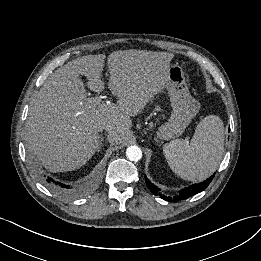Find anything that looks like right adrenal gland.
I'll use <instances>...</instances> for the list:
<instances>
[{
	"label": "right adrenal gland",
	"instance_id": "obj_1",
	"mask_svg": "<svg viewBox=\"0 0 261 261\" xmlns=\"http://www.w3.org/2000/svg\"><path fill=\"white\" fill-rule=\"evenodd\" d=\"M102 141H103V137L101 136L100 137V140H99V145H98V148H97V152L100 150L101 146H102Z\"/></svg>",
	"mask_w": 261,
	"mask_h": 261
}]
</instances>
